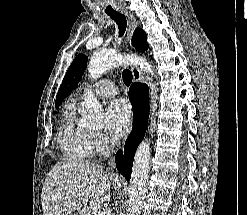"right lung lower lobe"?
I'll return each mask as SVG.
<instances>
[{"instance_id": "98d812e1", "label": "right lung lower lobe", "mask_w": 247, "mask_h": 215, "mask_svg": "<svg viewBox=\"0 0 247 215\" xmlns=\"http://www.w3.org/2000/svg\"><path fill=\"white\" fill-rule=\"evenodd\" d=\"M129 99L133 107V128L126 140L124 154L119 151L116 155V167L118 171L130 180L133 157L142 141L149 117V92L146 84L133 83L129 89Z\"/></svg>"}]
</instances>
